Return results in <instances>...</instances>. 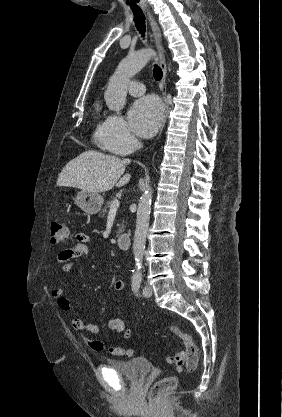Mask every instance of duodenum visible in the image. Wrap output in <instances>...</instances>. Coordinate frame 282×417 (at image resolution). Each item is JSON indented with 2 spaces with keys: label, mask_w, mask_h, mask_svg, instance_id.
I'll return each instance as SVG.
<instances>
[{
  "label": "duodenum",
  "mask_w": 282,
  "mask_h": 417,
  "mask_svg": "<svg viewBox=\"0 0 282 417\" xmlns=\"http://www.w3.org/2000/svg\"><path fill=\"white\" fill-rule=\"evenodd\" d=\"M130 236L128 234H120L116 237L117 246L122 250H127L129 247Z\"/></svg>",
  "instance_id": "410a0bca"
}]
</instances>
